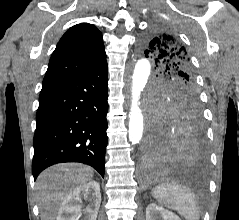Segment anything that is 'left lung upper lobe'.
Instances as JSON below:
<instances>
[{
  "mask_svg": "<svg viewBox=\"0 0 239 220\" xmlns=\"http://www.w3.org/2000/svg\"><path fill=\"white\" fill-rule=\"evenodd\" d=\"M141 47L168 79L156 95L157 108L164 112H201L193 66L176 35L162 27H152L141 38Z\"/></svg>",
  "mask_w": 239,
  "mask_h": 220,
  "instance_id": "5c2ea615",
  "label": "left lung upper lobe"
}]
</instances>
